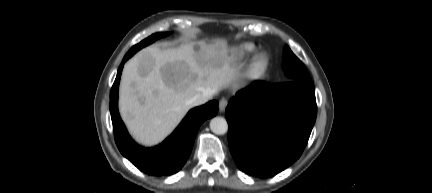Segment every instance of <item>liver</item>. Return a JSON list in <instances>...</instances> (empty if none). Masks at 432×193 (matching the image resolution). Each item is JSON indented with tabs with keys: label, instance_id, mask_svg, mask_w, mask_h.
Segmentation results:
<instances>
[{
	"label": "liver",
	"instance_id": "1",
	"mask_svg": "<svg viewBox=\"0 0 432 193\" xmlns=\"http://www.w3.org/2000/svg\"><path fill=\"white\" fill-rule=\"evenodd\" d=\"M241 66L236 49L221 38L142 49L125 64L119 88L129 133L145 146L160 143L191 109L192 97L228 86Z\"/></svg>",
	"mask_w": 432,
	"mask_h": 193
}]
</instances>
